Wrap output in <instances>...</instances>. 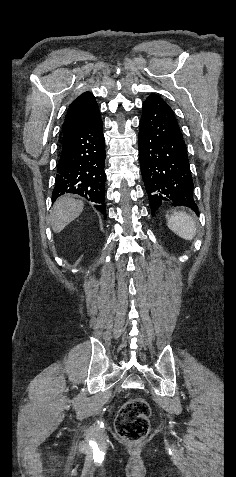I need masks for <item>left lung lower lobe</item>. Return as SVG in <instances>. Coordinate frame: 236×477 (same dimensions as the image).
Returning a JSON list of instances; mask_svg holds the SVG:
<instances>
[{"instance_id": "0a47b994", "label": "left lung lower lobe", "mask_w": 236, "mask_h": 477, "mask_svg": "<svg viewBox=\"0 0 236 477\" xmlns=\"http://www.w3.org/2000/svg\"><path fill=\"white\" fill-rule=\"evenodd\" d=\"M138 142L152 215L167 203L197 212L186 144L173 110L157 94L143 104Z\"/></svg>"}]
</instances>
